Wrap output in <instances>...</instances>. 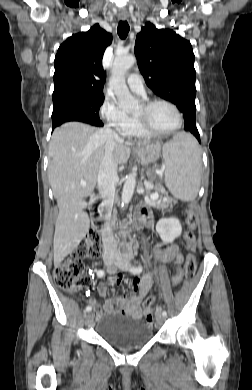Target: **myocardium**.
<instances>
[{
	"label": "myocardium",
	"mask_w": 252,
	"mask_h": 390,
	"mask_svg": "<svg viewBox=\"0 0 252 390\" xmlns=\"http://www.w3.org/2000/svg\"><path fill=\"white\" fill-rule=\"evenodd\" d=\"M159 103L166 104L174 110V112L177 116V124L175 125L174 128H172L170 130L158 131V130H155L154 128H152L151 125L149 124V122L145 118L136 116V121H137L139 128L144 133H146L152 137H162V136L172 135V134L176 133L182 127V124H183V116H182L181 111L179 110V108L177 107L176 104H174L173 102H171L167 99H163V98L151 99V100L145 101L143 103V107L145 108L146 111H149L153 106H155L156 104H159Z\"/></svg>",
	"instance_id": "myocardium-1"
}]
</instances>
